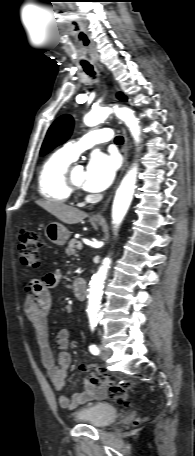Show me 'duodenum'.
<instances>
[{
    "instance_id": "1",
    "label": "duodenum",
    "mask_w": 195,
    "mask_h": 456,
    "mask_svg": "<svg viewBox=\"0 0 195 456\" xmlns=\"http://www.w3.org/2000/svg\"><path fill=\"white\" fill-rule=\"evenodd\" d=\"M73 291L77 299L84 300L87 295V283L84 279L78 278L73 283Z\"/></svg>"
}]
</instances>
